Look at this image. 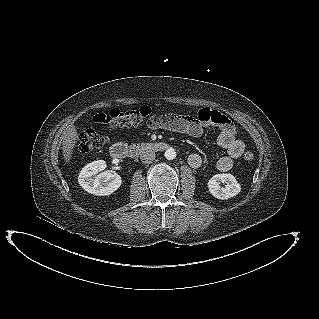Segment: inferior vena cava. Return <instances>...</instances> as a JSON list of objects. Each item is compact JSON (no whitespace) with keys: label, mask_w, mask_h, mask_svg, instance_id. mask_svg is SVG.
<instances>
[{"label":"inferior vena cava","mask_w":319,"mask_h":319,"mask_svg":"<svg viewBox=\"0 0 319 319\" xmlns=\"http://www.w3.org/2000/svg\"><path fill=\"white\" fill-rule=\"evenodd\" d=\"M156 158V154L155 152L151 151V150H147L145 152H143L140 156L141 162L144 164H149L151 162H153Z\"/></svg>","instance_id":"obj_1"}]
</instances>
